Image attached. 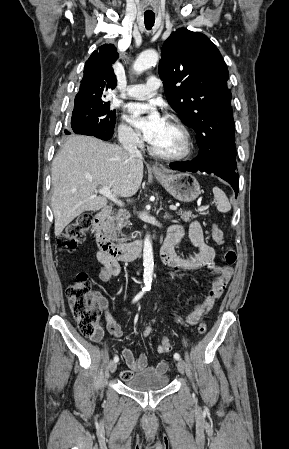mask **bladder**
Wrapping results in <instances>:
<instances>
[{"instance_id":"bladder-1","label":"bladder","mask_w":289,"mask_h":449,"mask_svg":"<svg viewBox=\"0 0 289 449\" xmlns=\"http://www.w3.org/2000/svg\"><path fill=\"white\" fill-rule=\"evenodd\" d=\"M169 383L167 374L139 373L124 381L126 387L137 391L155 390L166 387Z\"/></svg>"}]
</instances>
